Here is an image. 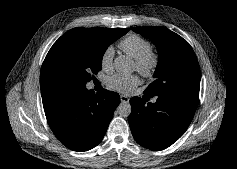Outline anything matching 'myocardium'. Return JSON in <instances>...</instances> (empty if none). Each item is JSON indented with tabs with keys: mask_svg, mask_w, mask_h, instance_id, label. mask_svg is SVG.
I'll return each mask as SVG.
<instances>
[{
	"mask_svg": "<svg viewBox=\"0 0 237 169\" xmlns=\"http://www.w3.org/2000/svg\"><path fill=\"white\" fill-rule=\"evenodd\" d=\"M136 70L143 76H150L158 65V54L149 50L147 53L135 59Z\"/></svg>",
	"mask_w": 237,
	"mask_h": 169,
	"instance_id": "f54148a6",
	"label": "myocardium"
}]
</instances>
